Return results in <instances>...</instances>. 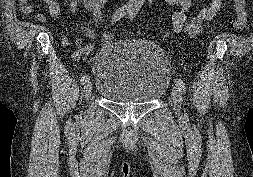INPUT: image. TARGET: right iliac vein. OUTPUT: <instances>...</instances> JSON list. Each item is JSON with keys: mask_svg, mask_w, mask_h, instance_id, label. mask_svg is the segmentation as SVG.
<instances>
[{"mask_svg": "<svg viewBox=\"0 0 253 177\" xmlns=\"http://www.w3.org/2000/svg\"><path fill=\"white\" fill-rule=\"evenodd\" d=\"M92 90H93V85L91 82L86 83V85L84 86V99L87 100L91 94H92Z\"/></svg>", "mask_w": 253, "mask_h": 177, "instance_id": "right-iliac-vein-1", "label": "right iliac vein"}]
</instances>
